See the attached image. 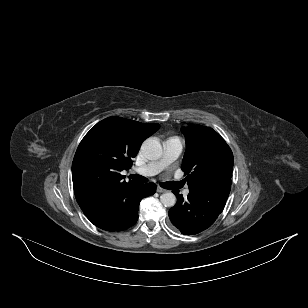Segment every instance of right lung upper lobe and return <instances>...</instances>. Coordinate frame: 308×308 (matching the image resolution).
<instances>
[{"instance_id":"1","label":"right lung upper lobe","mask_w":308,"mask_h":308,"mask_svg":"<svg viewBox=\"0 0 308 308\" xmlns=\"http://www.w3.org/2000/svg\"><path fill=\"white\" fill-rule=\"evenodd\" d=\"M116 116L97 123L82 139L72 163L76 200L87 218L114 211L140 185L122 180L142 141L159 129Z\"/></svg>"}]
</instances>
